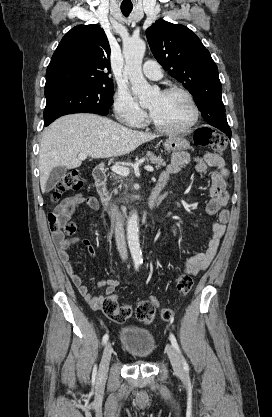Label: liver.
<instances>
[{
  "mask_svg": "<svg viewBox=\"0 0 272 417\" xmlns=\"http://www.w3.org/2000/svg\"><path fill=\"white\" fill-rule=\"evenodd\" d=\"M157 137L95 114L63 116L47 127L42 135L39 151L41 190L45 192L53 168L79 167L81 160L77 155L80 153L92 158L118 157Z\"/></svg>",
  "mask_w": 272,
  "mask_h": 417,
  "instance_id": "6515ba94",
  "label": "liver"
}]
</instances>
